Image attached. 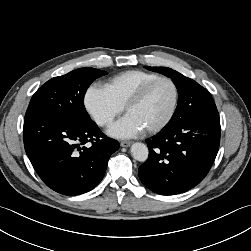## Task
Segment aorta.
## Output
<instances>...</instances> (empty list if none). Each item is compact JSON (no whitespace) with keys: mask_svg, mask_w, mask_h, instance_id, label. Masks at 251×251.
I'll list each match as a JSON object with an SVG mask.
<instances>
[{"mask_svg":"<svg viewBox=\"0 0 251 251\" xmlns=\"http://www.w3.org/2000/svg\"><path fill=\"white\" fill-rule=\"evenodd\" d=\"M133 158L139 162H145L148 159V148L145 144L136 142L131 146Z\"/></svg>","mask_w":251,"mask_h":251,"instance_id":"1","label":"aorta"}]
</instances>
